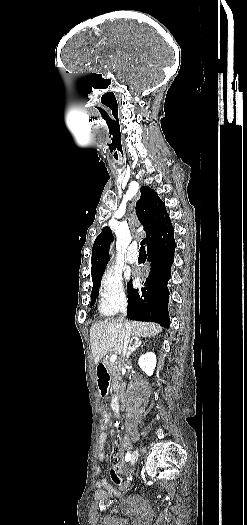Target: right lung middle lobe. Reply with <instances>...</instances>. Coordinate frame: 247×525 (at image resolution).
I'll return each instance as SVG.
<instances>
[{"label": "right lung middle lobe", "instance_id": "dd1d6c3e", "mask_svg": "<svg viewBox=\"0 0 247 525\" xmlns=\"http://www.w3.org/2000/svg\"><path fill=\"white\" fill-rule=\"evenodd\" d=\"M103 274L99 275H92V281H93V288H92V296H91V303L90 306H93L95 304L97 295H98V288L100 286V281Z\"/></svg>", "mask_w": 247, "mask_h": 525}]
</instances>
